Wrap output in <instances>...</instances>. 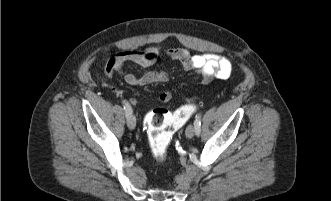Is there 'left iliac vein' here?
I'll use <instances>...</instances> for the list:
<instances>
[{
    "label": "left iliac vein",
    "mask_w": 331,
    "mask_h": 201,
    "mask_svg": "<svg viewBox=\"0 0 331 201\" xmlns=\"http://www.w3.org/2000/svg\"><path fill=\"white\" fill-rule=\"evenodd\" d=\"M185 135L187 138H192L195 135V127L193 125H189L186 128Z\"/></svg>",
    "instance_id": "left-iliac-vein-1"
}]
</instances>
